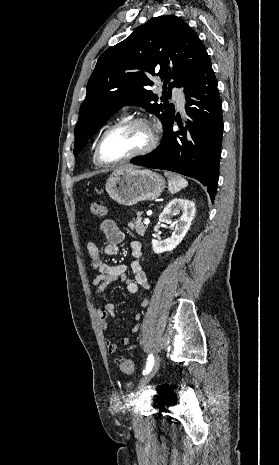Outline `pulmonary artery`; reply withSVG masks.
<instances>
[{
	"mask_svg": "<svg viewBox=\"0 0 279 465\" xmlns=\"http://www.w3.org/2000/svg\"><path fill=\"white\" fill-rule=\"evenodd\" d=\"M173 99L176 101L179 109L183 110L184 108V96L179 90H174L173 91Z\"/></svg>",
	"mask_w": 279,
	"mask_h": 465,
	"instance_id": "obj_1",
	"label": "pulmonary artery"
}]
</instances>
